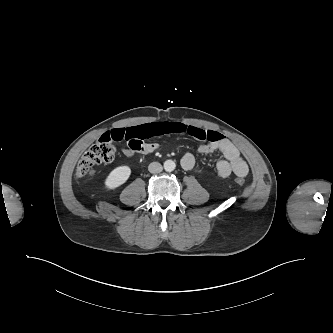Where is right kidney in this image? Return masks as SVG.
Here are the masks:
<instances>
[{"label": "right kidney", "mask_w": 333, "mask_h": 333, "mask_svg": "<svg viewBox=\"0 0 333 333\" xmlns=\"http://www.w3.org/2000/svg\"><path fill=\"white\" fill-rule=\"evenodd\" d=\"M131 174L129 166H119L113 169L105 180V187L113 190L124 184Z\"/></svg>", "instance_id": "obj_1"}]
</instances>
